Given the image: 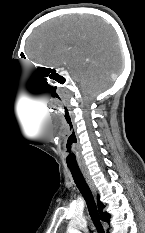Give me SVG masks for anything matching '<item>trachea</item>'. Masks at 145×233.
Segmentation results:
<instances>
[{
  "instance_id": "3493384b",
  "label": "trachea",
  "mask_w": 145,
  "mask_h": 233,
  "mask_svg": "<svg viewBox=\"0 0 145 233\" xmlns=\"http://www.w3.org/2000/svg\"><path fill=\"white\" fill-rule=\"evenodd\" d=\"M69 170L73 176L75 184L77 185L78 189L80 190L81 194L83 195V197L86 201V204H87V207L89 210V214H90L92 221L97 229V232L98 233H105L103 226L99 220V214H98L97 206H96V203L94 201L92 192H91L90 188L88 187L81 170L79 168H71V167H69Z\"/></svg>"
}]
</instances>
